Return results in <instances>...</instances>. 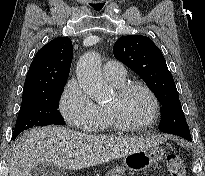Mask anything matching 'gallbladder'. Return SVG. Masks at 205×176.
<instances>
[{
  "label": "gallbladder",
  "mask_w": 205,
  "mask_h": 176,
  "mask_svg": "<svg viewBox=\"0 0 205 176\" xmlns=\"http://www.w3.org/2000/svg\"><path fill=\"white\" fill-rule=\"evenodd\" d=\"M64 169L55 164L39 163L32 168L30 176H64Z\"/></svg>",
  "instance_id": "1"
}]
</instances>
